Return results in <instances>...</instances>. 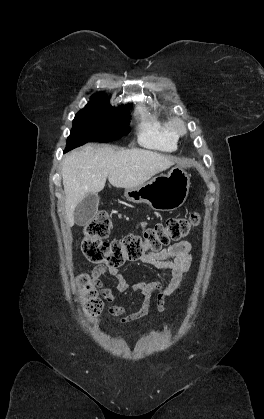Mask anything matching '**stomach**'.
Returning a JSON list of instances; mask_svg holds the SVG:
<instances>
[{
	"instance_id": "obj_1",
	"label": "stomach",
	"mask_w": 264,
	"mask_h": 419,
	"mask_svg": "<svg viewBox=\"0 0 264 419\" xmlns=\"http://www.w3.org/2000/svg\"><path fill=\"white\" fill-rule=\"evenodd\" d=\"M189 188L187 172L174 166L167 175H159L139 186L126 188L125 197L132 203H147L157 211H173L184 204Z\"/></svg>"
}]
</instances>
